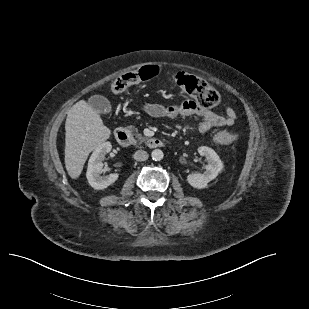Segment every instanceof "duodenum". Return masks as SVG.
I'll use <instances>...</instances> for the list:
<instances>
[{
  "instance_id": "1",
  "label": "duodenum",
  "mask_w": 309,
  "mask_h": 309,
  "mask_svg": "<svg viewBox=\"0 0 309 309\" xmlns=\"http://www.w3.org/2000/svg\"><path fill=\"white\" fill-rule=\"evenodd\" d=\"M115 138L122 146H129L132 143V136L130 132L125 128H117L115 131ZM148 146L152 149L160 148L164 146V141L160 138H151L147 142Z\"/></svg>"
}]
</instances>
